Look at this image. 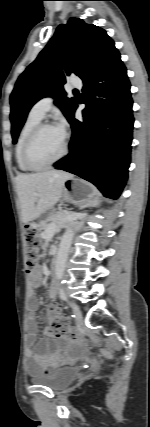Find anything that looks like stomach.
<instances>
[{"mask_svg": "<svg viewBox=\"0 0 150 427\" xmlns=\"http://www.w3.org/2000/svg\"><path fill=\"white\" fill-rule=\"evenodd\" d=\"M62 197L67 202L85 205L96 202L98 196L90 184L72 177L64 182Z\"/></svg>", "mask_w": 150, "mask_h": 427, "instance_id": "stomach-1", "label": "stomach"}]
</instances>
